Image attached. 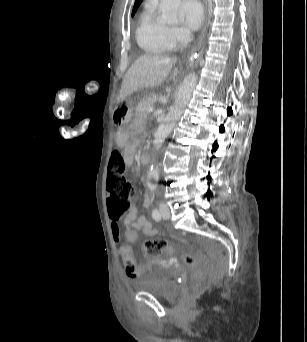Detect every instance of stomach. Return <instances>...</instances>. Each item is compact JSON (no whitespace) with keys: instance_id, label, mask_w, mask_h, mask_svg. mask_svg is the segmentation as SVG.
I'll use <instances>...</instances> for the list:
<instances>
[{"instance_id":"0dacf381","label":"stomach","mask_w":307,"mask_h":342,"mask_svg":"<svg viewBox=\"0 0 307 342\" xmlns=\"http://www.w3.org/2000/svg\"><path fill=\"white\" fill-rule=\"evenodd\" d=\"M132 116V105H127L126 107H117L114 110L113 120L118 126L125 127L131 121Z\"/></svg>"}]
</instances>
